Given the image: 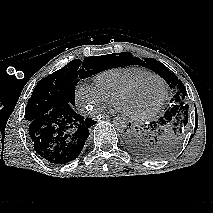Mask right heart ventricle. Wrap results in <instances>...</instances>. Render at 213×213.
I'll use <instances>...</instances> for the list:
<instances>
[{"label":"right heart ventricle","instance_id":"right-heart-ventricle-1","mask_svg":"<svg viewBox=\"0 0 213 213\" xmlns=\"http://www.w3.org/2000/svg\"><path fill=\"white\" fill-rule=\"evenodd\" d=\"M148 72L150 71L139 66L116 67L96 75L95 82L105 94L112 98L122 86L137 76Z\"/></svg>","mask_w":213,"mask_h":213}]
</instances>
